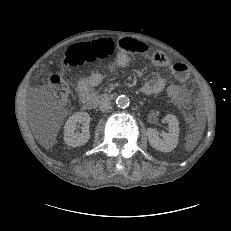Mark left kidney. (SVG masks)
Returning <instances> with one entry per match:
<instances>
[{"instance_id": "obj_1", "label": "left kidney", "mask_w": 231, "mask_h": 231, "mask_svg": "<svg viewBox=\"0 0 231 231\" xmlns=\"http://www.w3.org/2000/svg\"><path fill=\"white\" fill-rule=\"evenodd\" d=\"M165 120L169 125V133H162V137H159V133L153 129H147V137L150 145L158 151L170 152L178 144L179 137V122L177 118L172 114H167Z\"/></svg>"}]
</instances>
